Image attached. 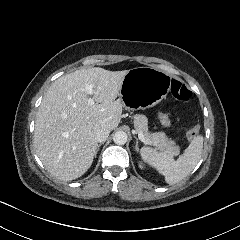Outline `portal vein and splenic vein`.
I'll return each instance as SVG.
<instances>
[{
	"label": "portal vein and splenic vein",
	"instance_id": "obj_1",
	"mask_svg": "<svg viewBox=\"0 0 240 240\" xmlns=\"http://www.w3.org/2000/svg\"><path fill=\"white\" fill-rule=\"evenodd\" d=\"M93 87H94V84H90V85H86L83 90L88 92L89 94L92 93V90H93ZM90 103H93V101L90 99L89 100ZM133 133H135V131H133ZM137 134H138V138L141 140V141H144V132L139 130L137 131Z\"/></svg>",
	"mask_w": 240,
	"mask_h": 240
}]
</instances>
